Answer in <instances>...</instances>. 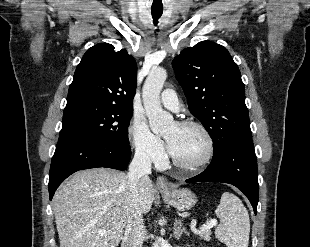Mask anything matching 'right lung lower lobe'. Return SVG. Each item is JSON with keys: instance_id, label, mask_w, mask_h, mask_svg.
<instances>
[{"instance_id": "1", "label": "right lung lower lobe", "mask_w": 310, "mask_h": 247, "mask_svg": "<svg viewBox=\"0 0 310 247\" xmlns=\"http://www.w3.org/2000/svg\"><path fill=\"white\" fill-rule=\"evenodd\" d=\"M130 157L129 144L117 146L81 135L59 137L50 166V200L58 186L72 173L97 167L124 170Z\"/></svg>"}]
</instances>
